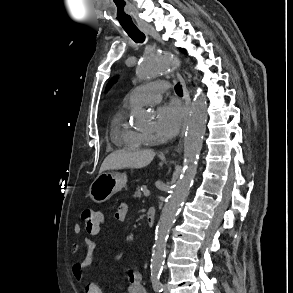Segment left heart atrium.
I'll return each instance as SVG.
<instances>
[{
	"mask_svg": "<svg viewBox=\"0 0 293 293\" xmlns=\"http://www.w3.org/2000/svg\"><path fill=\"white\" fill-rule=\"evenodd\" d=\"M185 116L184 108L177 102L160 106L156 112V133L162 138L174 137Z\"/></svg>",
	"mask_w": 293,
	"mask_h": 293,
	"instance_id": "obj_1",
	"label": "left heart atrium"
}]
</instances>
